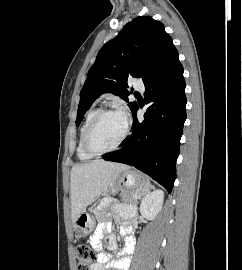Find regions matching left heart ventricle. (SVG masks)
<instances>
[{"mask_svg": "<svg viewBox=\"0 0 242 270\" xmlns=\"http://www.w3.org/2000/svg\"><path fill=\"white\" fill-rule=\"evenodd\" d=\"M126 121L121 113L105 115L93 129L89 143L95 150H104L114 146L122 137Z\"/></svg>", "mask_w": 242, "mask_h": 270, "instance_id": "left-heart-ventricle-1", "label": "left heart ventricle"}]
</instances>
